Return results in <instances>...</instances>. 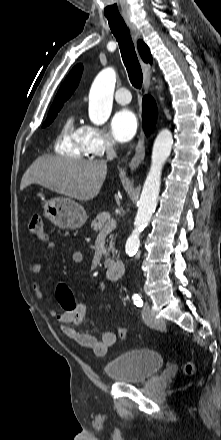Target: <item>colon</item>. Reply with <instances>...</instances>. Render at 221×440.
<instances>
[{"label":"colon","mask_w":221,"mask_h":440,"mask_svg":"<svg viewBox=\"0 0 221 440\" xmlns=\"http://www.w3.org/2000/svg\"><path fill=\"white\" fill-rule=\"evenodd\" d=\"M29 230L35 235L39 240L46 241L48 236L44 227V223L42 217L39 214H35L30 218L29 221ZM56 296L58 300L61 302V312L63 315H72L74 309H78L79 303L76 297H73L72 291L70 287L62 282L59 283L56 287ZM113 330L118 334L119 339H128L129 332L125 330L124 325L119 323V321L114 320L111 323ZM194 370L193 364L191 362H187L184 365V372L186 374H191Z\"/></svg>","instance_id":"obj_1"}]
</instances>
